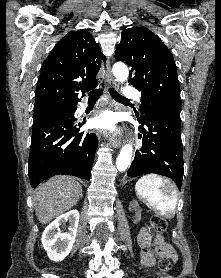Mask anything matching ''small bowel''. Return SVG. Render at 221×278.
Instances as JSON below:
<instances>
[{
	"instance_id": "1",
	"label": "small bowel",
	"mask_w": 221,
	"mask_h": 278,
	"mask_svg": "<svg viewBox=\"0 0 221 278\" xmlns=\"http://www.w3.org/2000/svg\"><path fill=\"white\" fill-rule=\"evenodd\" d=\"M138 244L141 248V256L143 264L147 267L153 266L155 263V256H160V252L158 250V246L155 249H151L152 245V236L150 234V231L147 227H144L141 229V231L138 234ZM165 248L167 249V252L170 256L175 258V253L172 250V248L168 245H165Z\"/></svg>"
}]
</instances>
